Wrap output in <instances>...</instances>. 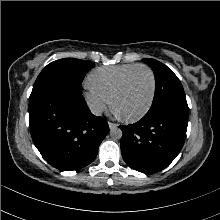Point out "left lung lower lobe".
<instances>
[{
  "label": "left lung lower lobe",
  "instance_id": "0a47b994",
  "mask_svg": "<svg viewBox=\"0 0 220 220\" xmlns=\"http://www.w3.org/2000/svg\"><path fill=\"white\" fill-rule=\"evenodd\" d=\"M187 124L188 116L173 110H158L147 113L134 124L120 125L124 161L145 174L163 170L182 149Z\"/></svg>",
  "mask_w": 220,
  "mask_h": 220
}]
</instances>
